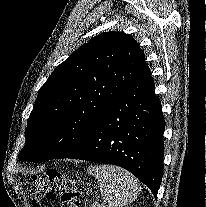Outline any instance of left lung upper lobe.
<instances>
[{
	"instance_id": "1",
	"label": "left lung upper lobe",
	"mask_w": 206,
	"mask_h": 207,
	"mask_svg": "<svg viewBox=\"0 0 206 207\" xmlns=\"http://www.w3.org/2000/svg\"><path fill=\"white\" fill-rule=\"evenodd\" d=\"M146 68L137 41L107 32L81 46L40 88L20 161L65 158L81 148L110 104Z\"/></svg>"
}]
</instances>
